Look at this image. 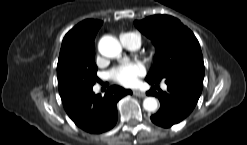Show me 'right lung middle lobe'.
<instances>
[{
    "label": "right lung middle lobe",
    "instance_id": "1",
    "mask_svg": "<svg viewBox=\"0 0 247 145\" xmlns=\"http://www.w3.org/2000/svg\"><path fill=\"white\" fill-rule=\"evenodd\" d=\"M94 52L68 47L60 50L57 64L59 94L61 98L84 88H91L98 79Z\"/></svg>",
    "mask_w": 247,
    "mask_h": 145
}]
</instances>
